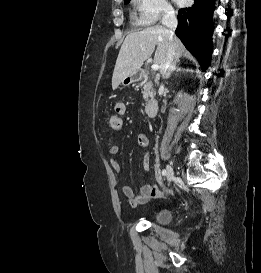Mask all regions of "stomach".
Listing matches in <instances>:
<instances>
[{
  "label": "stomach",
  "instance_id": "1",
  "mask_svg": "<svg viewBox=\"0 0 261 273\" xmlns=\"http://www.w3.org/2000/svg\"><path fill=\"white\" fill-rule=\"evenodd\" d=\"M141 78V73L140 71H138L136 74H134L133 76H129L123 79V81L121 82L122 85H129L133 82L138 81Z\"/></svg>",
  "mask_w": 261,
  "mask_h": 273
}]
</instances>
